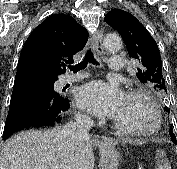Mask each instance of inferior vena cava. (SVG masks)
<instances>
[{"mask_svg":"<svg viewBox=\"0 0 177 169\" xmlns=\"http://www.w3.org/2000/svg\"><path fill=\"white\" fill-rule=\"evenodd\" d=\"M92 125L93 120L90 117L77 116L73 123L64 126L62 132L71 141L77 138H87Z\"/></svg>","mask_w":177,"mask_h":169,"instance_id":"1","label":"inferior vena cava"}]
</instances>
